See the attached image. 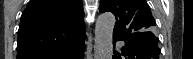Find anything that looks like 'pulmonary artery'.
<instances>
[{
  "instance_id": "obj_1",
  "label": "pulmonary artery",
  "mask_w": 193,
  "mask_h": 59,
  "mask_svg": "<svg viewBox=\"0 0 193 59\" xmlns=\"http://www.w3.org/2000/svg\"><path fill=\"white\" fill-rule=\"evenodd\" d=\"M115 45H117V46L121 47V46H123V45H124V43H123V42H121V41H118V42H116V43H115Z\"/></svg>"
}]
</instances>
